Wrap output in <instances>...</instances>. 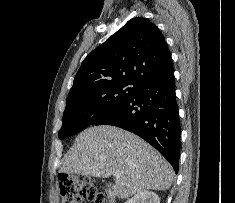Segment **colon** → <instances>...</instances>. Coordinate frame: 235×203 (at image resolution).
Here are the masks:
<instances>
[{"label":"colon","mask_w":235,"mask_h":203,"mask_svg":"<svg viewBox=\"0 0 235 203\" xmlns=\"http://www.w3.org/2000/svg\"><path fill=\"white\" fill-rule=\"evenodd\" d=\"M58 179L60 203H81L83 200L103 203L102 193L89 178L60 174Z\"/></svg>","instance_id":"1"}]
</instances>
